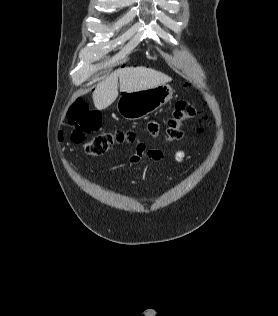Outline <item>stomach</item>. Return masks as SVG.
<instances>
[{
  "label": "stomach",
  "instance_id": "obj_1",
  "mask_svg": "<svg viewBox=\"0 0 278 316\" xmlns=\"http://www.w3.org/2000/svg\"><path fill=\"white\" fill-rule=\"evenodd\" d=\"M172 95L173 89L168 84L125 93L117 102V110L125 119H140L165 105Z\"/></svg>",
  "mask_w": 278,
  "mask_h": 316
}]
</instances>
